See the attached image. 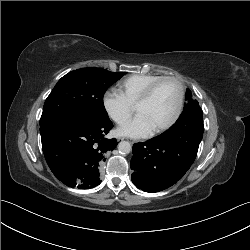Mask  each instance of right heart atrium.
<instances>
[{
	"mask_svg": "<svg viewBox=\"0 0 250 250\" xmlns=\"http://www.w3.org/2000/svg\"><path fill=\"white\" fill-rule=\"evenodd\" d=\"M102 104L107 115L117 124L124 123L133 112V106L115 89H109L104 93Z\"/></svg>",
	"mask_w": 250,
	"mask_h": 250,
	"instance_id": "1",
	"label": "right heart atrium"
}]
</instances>
